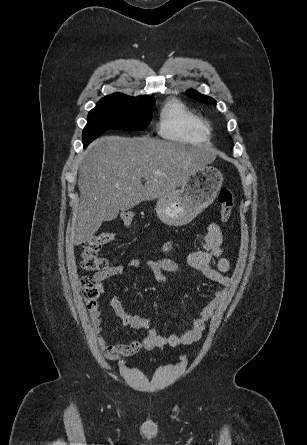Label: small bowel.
<instances>
[{
    "mask_svg": "<svg viewBox=\"0 0 307 445\" xmlns=\"http://www.w3.org/2000/svg\"><path fill=\"white\" fill-rule=\"evenodd\" d=\"M224 252V237L221 227L216 222H211L201 249L190 253L187 257V262L192 269L200 272L206 279L222 286V288L218 286L211 288L212 298L205 304L190 327L180 335L165 336L161 334L157 328L150 326L148 319L128 312L122 306L119 298L113 297L110 300V306L115 315L130 327L145 331L146 336L142 341L110 343L101 333L102 319L100 311L96 307L91 309V322L96 333L97 342L104 356L109 360L120 361L126 356L138 353L142 348L152 350L163 346L177 347L198 341L205 329V324L211 319L214 311L224 298L226 293L225 287L229 284V277L225 273L231 270V263L227 258L223 257ZM127 265L134 269H139L144 265L158 280L162 278L164 272L173 274L181 272L179 264L167 258L147 259L144 261L138 258H131ZM124 273L125 268L123 265H114L95 273L93 278L98 284L100 293H102L103 283L106 280L122 276Z\"/></svg>",
    "mask_w": 307,
    "mask_h": 445,
    "instance_id": "small-bowel-1",
    "label": "small bowel"
}]
</instances>
